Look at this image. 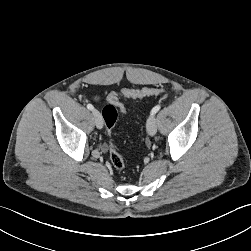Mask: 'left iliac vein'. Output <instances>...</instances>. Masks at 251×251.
<instances>
[{
	"instance_id": "1",
	"label": "left iliac vein",
	"mask_w": 251,
	"mask_h": 251,
	"mask_svg": "<svg viewBox=\"0 0 251 251\" xmlns=\"http://www.w3.org/2000/svg\"><path fill=\"white\" fill-rule=\"evenodd\" d=\"M146 129L149 135L153 136L157 132V123L154 115H150L146 122Z\"/></svg>"
}]
</instances>
